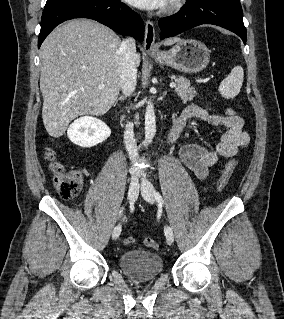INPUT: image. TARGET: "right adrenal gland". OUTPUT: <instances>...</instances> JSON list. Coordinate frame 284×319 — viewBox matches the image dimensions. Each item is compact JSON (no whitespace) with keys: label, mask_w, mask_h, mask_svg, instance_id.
Listing matches in <instances>:
<instances>
[{"label":"right adrenal gland","mask_w":284,"mask_h":319,"mask_svg":"<svg viewBox=\"0 0 284 319\" xmlns=\"http://www.w3.org/2000/svg\"><path fill=\"white\" fill-rule=\"evenodd\" d=\"M125 98H126V96L121 95L119 98H117V99L115 100L114 105H116L118 101H124Z\"/></svg>","instance_id":"right-adrenal-gland-1"}]
</instances>
